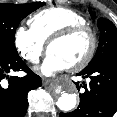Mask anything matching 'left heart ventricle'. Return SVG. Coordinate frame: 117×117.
<instances>
[{
  "mask_svg": "<svg viewBox=\"0 0 117 117\" xmlns=\"http://www.w3.org/2000/svg\"><path fill=\"white\" fill-rule=\"evenodd\" d=\"M89 45V36L79 34L66 41L53 44L49 49V53L58 56L70 67L86 55Z\"/></svg>",
  "mask_w": 117,
  "mask_h": 117,
  "instance_id": "obj_1",
  "label": "left heart ventricle"
}]
</instances>
